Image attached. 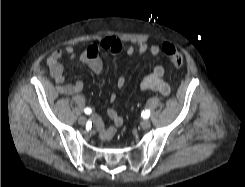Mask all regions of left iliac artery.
<instances>
[{
  "instance_id": "1",
  "label": "left iliac artery",
  "mask_w": 245,
  "mask_h": 187,
  "mask_svg": "<svg viewBox=\"0 0 245 187\" xmlns=\"http://www.w3.org/2000/svg\"><path fill=\"white\" fill-rule=\"evenodd\" d=\"M143 115H144L145 117H149V116H150V111H149V110L143 111Z\"/></svg>"
}]
</instances>
